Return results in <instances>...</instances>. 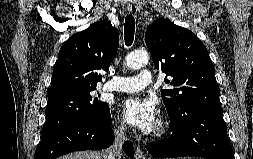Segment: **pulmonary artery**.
Masks as SVG:
<instances>
[{
    "label": "pulmonary artery",
    "mask_w": 253,
    "mask_h": 159,
    "mask_svg": "<svg viewBox=\"0 0 253 159\" xmlns=\"http://www.w3.org/2000/svg\"><path fill=\"white\" fill-rule=\"evenodd\" d=\"M153 78L149 70H141L138 76H113L112 80L105 86L109 91L116 92H137L151 86Z\"/></svg>",
    "instance_id": "1"
}]
</instances>
